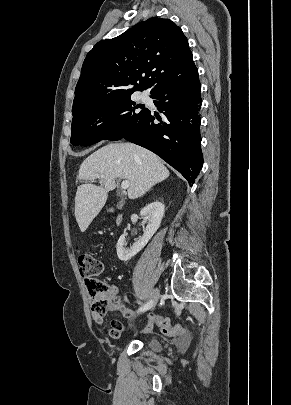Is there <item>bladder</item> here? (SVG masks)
Segmentation results:
<instances>
[{
    "label": "bladder",
    "instance_id": "31cf9c89",
    "mask_svg": "<svg viewBox=\"0 0 291 405\" xmlns=\"http://www.w3.org/2000/svg\"><path fill=\"white\" fill-rule=\"evenodd\" d=\"M145 346L153 352H159L161 350V343L156 338H150L145 342Z\"/></svg>",
    "mask_w": 291,
    "mask_h": 405
}]
</instances>
